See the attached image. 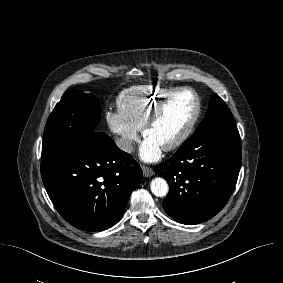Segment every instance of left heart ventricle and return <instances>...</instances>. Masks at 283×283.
I'll return each mask as SVG.
<instances>
[{
	"instance_id": "left-heart-ventricle-1",
	"label": "left heart ventricle",
	"mask_w": 283,
	"mask_h": 283,
	"mask_svg": "<svg viewBox=\"0 0 283 283\" xmlns=\"http://www.w3.org/2000/svg\"><path fill=\"white\" fill-rule=\"evenodd\" d=\"M195 111V100L189 92L175 95L147 132V138L161 147L167 145L186 127Z\"/></svg>"
}]
</instances>
